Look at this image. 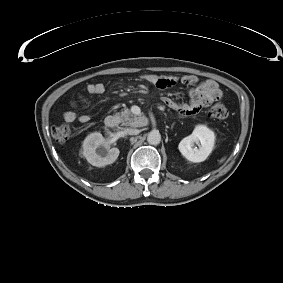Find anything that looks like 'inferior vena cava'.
Here are the masks:
<instances>
[{"mask_svg":"<svg viewBox=\"0 0 283 283\" xmlns=\"http://www.w3.org/2000/svg\"><path fill=\"white\" fill-rule=\"evenodd\" d=\"M125 133L128 135H137L139 133V130L135 128H127L125 129Z\"/></svg>","mask_w":283,"mask_h":283,"instance_id":"inferior-vena-cava-1","label":"inferior vena cava"}]
</instances>
